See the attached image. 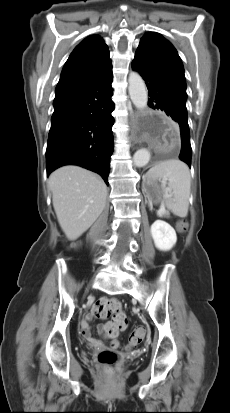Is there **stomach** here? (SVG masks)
Masks as SVG:
<instances>
[{"label": "stomach", "instance_id": "stomach-1", "mask_svg": "<svg viewBox=\"0 0 230 413\" xmlns=\"http://www.w3.org/2000/svg\"><path fill=\"white\" fill-rule=\"evenodd\" d=\"M142 190L150 203L164 204L166 202L167 198L160 180L145 176L143 179Z\"/></svg>", "mask_w": 230, "mask_h": 413}]
</instances>
